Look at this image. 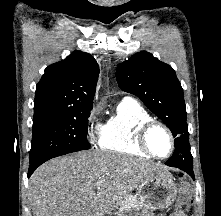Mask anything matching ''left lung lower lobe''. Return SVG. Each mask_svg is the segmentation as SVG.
<instances>
[{
  "label": "left lung lower lobe",
  "mask_w": 221,
  "mask_h": 216,
  "mask_svg": "<svg viewBox=\"0 0 221 216\" xmlns=\"http://www.w3.org/2000/svg\"><path fill=\"white\" fill-rule=\"evenodd\" d=\"M167 166L179 168L194 177L193 157L190 150L176 147L172 157L165 163Z\"/></svg>",
  "instance_id": "left-lung-lower-lobe-1"
}]
</instances>
